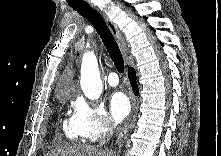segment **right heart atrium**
<instances>
[{
	"mask_svg": "<svg viewBox=\"0 0 221 156\" xmlns=\"http://www.w3.org/2000/svg\"><path fill=\"white\" fill-rule=\"evenodd\" d=\"M73 108L72 120L83 141L96 142L113 131L114 123L100 105L78 98Z\"/></svg>",
	"mask_w": 221,
	"mask_h": 156,
	"instance_id": "right-heart-atrium-1",
	"label": "right heart atrium"
}]
</instances>
